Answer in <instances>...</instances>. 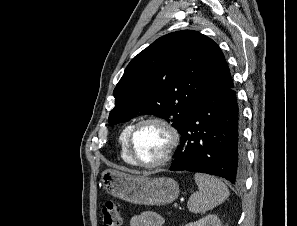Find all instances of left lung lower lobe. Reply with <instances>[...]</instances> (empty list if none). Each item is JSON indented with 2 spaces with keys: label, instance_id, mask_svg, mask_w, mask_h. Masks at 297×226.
Returning <instances> with one entry per match:
<instances>
[{
  "label": "left lung lower lobe",
  "instance_id": "obj_1",
  "mask_svg": "<svg viewBox=\"0 0 297 226\" xmlns=\"http://www.w3.org/2000/svg\"><path fill=\"white\" fill-rule=\"evenodd\" d=\"M231 88L210 90L200 98L179 130L181 142L170 170L207 173L242 183L245 156L236 92Z\"/></svg>",
  "mask_w": 297,
  "mask_h": 226
}]
</instances>
